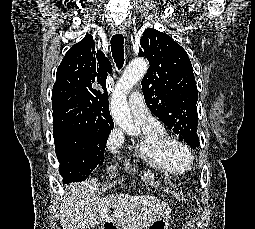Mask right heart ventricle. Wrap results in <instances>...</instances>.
I'll return each instance as SVG.
<instances>
[{
	"label": "right heart ventricle",
	"instance_id": "obj_1",
	"mask_svg": "<svg viewBox=\"0 0 255 229\" xmlns=\"http://www.w3.org/2000/svg\"><path fill=\"white\" fill-rule=\"evenodd\" d=\"M140 127L143 135L135 147L139 159L150 166L171 174H182L190 168V166L170 159L162 150V145L170 139L162 124L159 123V126L156 127L144 125H140Z\"/></svg>",
	"mask_w": 255,
	"mask_h": 229
}]
</instances>
